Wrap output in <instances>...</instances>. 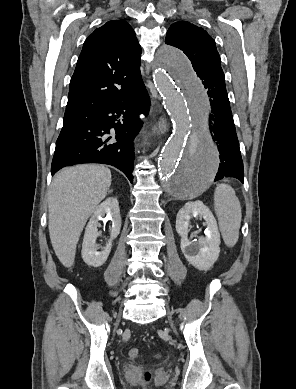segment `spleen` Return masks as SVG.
Returning <instances> with one entry per match:
<instances>
[{
	"mask_svg": "<svg viewBox=\"0 0 296 389\" xmlns=\"http://www.w3.org/2000/svg\"><path fill=\"white\" fill-rule=\"evenodd\" d=\"M214 206L223 240L228 247H233L239 238L242 219L241 205L234 189L219 184L214 193Z\"/></svg>",
	"mask_w": 296,
	"mask_h": 389,
	"instance_id": "3e777b00",
	"label": "spleen"
}]
</instances>
